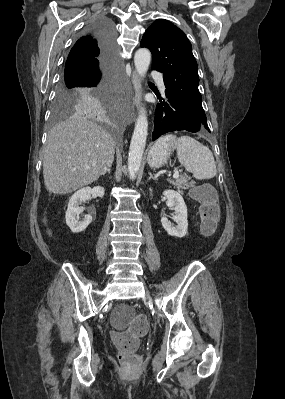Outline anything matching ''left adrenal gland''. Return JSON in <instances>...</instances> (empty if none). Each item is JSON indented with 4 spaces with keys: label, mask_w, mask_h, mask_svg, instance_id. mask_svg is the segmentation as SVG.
Masks as SVG:
<instances>
[{
    "label": "left adrenal gland",
    "mask_w": 285,
    "mask_h": 399,
    "mask_svg": "<svg viewBox=\"0 0 285 399\" xmlns=\"http://www.w3.org/2000/svg\"><path fill=\"white\" fill-rule=\"evenodd\" d=\"M148 174H149V180L150 179L157 180V177H154L151 172H148Z\"/></svg>",
    "instance_id": "a2214340"
}]
</instances>
